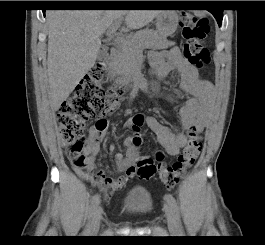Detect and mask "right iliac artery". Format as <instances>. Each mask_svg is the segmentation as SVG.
I'll list each match as a JSON object with an SVG mask.
<instances>
[{"mask_svg":"<svg viewBox=\"0 0 265 245\" xmlns=\"http://www.w3.org/2000/svg\"><path fill=\"white\" fill-rule=\"evenodd\" d=\"M99 204H100V194L97 193L92 197L90 205H89L88 210H87V214H88L89 219L93 216V214H94L96 208L99 206ZM87 227H88V225H86V228L83 232V235H85V236H88V228Z\"/></svg>","mask_w":265,"mask_h":245,"instance_id":"right-iliac-artery-1","label":"right iliac artery"}]
</instances>
